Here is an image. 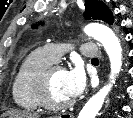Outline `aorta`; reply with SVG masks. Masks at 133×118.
<instances>
[{"label": "aorta", "instance_id": "1", "mask_svg": "<svg viewBox=\"0 0 133 118\" xmlns=\"http://www.w3.org/2000/svg\"><path fill=\"white\" fill-rule=\"evenodd\" d=\"M84 32L98 40L104 47L109 60L111 73L109 76L110 82L105 85L100 91L93 95L80 111L78 118H95L102 108L105 98L110 92L116 77L120 73L122 67V47L118 37L107 26L99 23H92L85 27Z\"/></svg>", "mask_w": 133, "mask_h": 118}]
</instances>
